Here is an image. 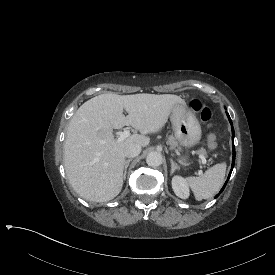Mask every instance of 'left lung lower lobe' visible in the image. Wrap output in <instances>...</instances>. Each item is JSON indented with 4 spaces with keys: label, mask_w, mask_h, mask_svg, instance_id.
Masks as SVG:
<instances>
[{
    "label": "left lung lower lobe",
    "mask_w": 275,
    "mask_h": 275,
    "mask_svg": "<svg viewBox=\"0 0 275 275\" xmlns=\"http://www.w3.org/2000/svg\"><path fill=\"white\" fill-rule=\"evenodd\" d=\"M227 116H228V119H229L230 124H231V127H232V142H233V159H232L231 171H230L229 176H228V179H227V181H228L229 178H230L231 172H232V170H233V167H234V162H235V146H234V128H233V124H232L231 118H230V116H229L228 113H227ZM227 181H226V183L224 184L223 188L221 189L220 193L224 190V188H225V186H226V184H227ZM220 193H219V194H220ZM219 194L216 195L215 198L218 197Z\"/></svg>",
    "instance_id": "0a47b994"
}]
</instances>
